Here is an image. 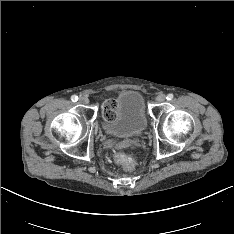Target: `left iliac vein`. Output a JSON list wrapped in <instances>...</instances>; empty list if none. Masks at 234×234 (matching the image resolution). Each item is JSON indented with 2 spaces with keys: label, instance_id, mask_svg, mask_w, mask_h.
<instances>
[{
  "label": "left iliac vein",
  "instance_id": "1",
  "mask_svg": "<svg viewBox=\"0 0 234 234\" xmlns=\"http://www.w3.org/2000/svg\"><path fill=\"white\" fill-rule=\"evenodd\" d=\"M157 102L161 103L166 100V96L164 94H159L156 98Z\"/></svg>",
  "mask_w": 234,
  "mask_h": 234
}]
</instances>
